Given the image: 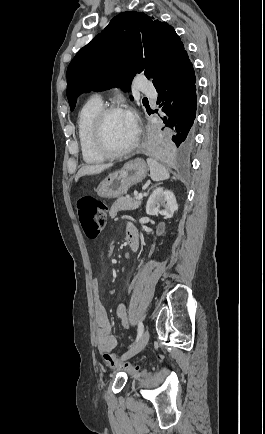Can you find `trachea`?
Here are the masks:
<instances>
[{
  "mask_svg": "<svg viewBox=\"0 0 265 434\" xmlns=\"http://www.w3.org/2000/svg\"><path fill=\"white\" fill-rule=\"evenodd\" d=\"M143 100H146V101H147L148 99H147L146 97H144V99H143Z\"/></svg>",
  "mask_w": 265,
  "mask_h": 434,
  "instance_id": "obj_1",
  "label": "trachea"
}]
</instances>
